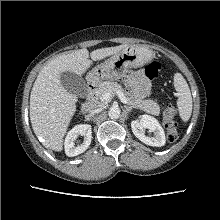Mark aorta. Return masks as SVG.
Listing matches in <instances>:
<instances>
[{
  "mask_svg": "<svg viewBox=\"0 0 220 220\" xmlns=\"http://www.w3.org/2000/svg\"><path fill=\"white\" fill-rule=\"evenodd\" d=\"M120 113H121V110L117 106H112L108 111V115L111 119H118L120 116Z\"/></svg>",
  "mask_w": 220,
  "mask_h": 220,
  "instance_id": "obj_1",
  "label": "aorta"
}]
</instances>
